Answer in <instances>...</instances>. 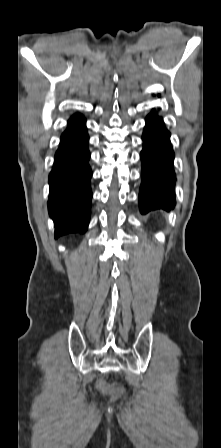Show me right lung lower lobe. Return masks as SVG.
I'll use <instances>...</instances> for the list:
<instances>
[{"instance_id": "98d812e1", "label": "right lung lower lobe", "mask_w": 221, "mask_h": 448, "mask_svg": "<svg viewBox=\"0 0 221 448\" xmlns=\"http://www.w3.org/2000/svg\"><path fill=\"white\" fill-rule=\"evenodd\" d=\"M88 139L84 117L72 116L61 136L49 175L48 209L55 225V238L87 230L92 198Z\"/></svg>"}]
</instances>
